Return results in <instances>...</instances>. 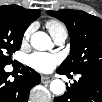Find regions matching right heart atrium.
I'll return each instance as SVG.
<instances>
[{"label":"right heart atrium","mask_w":102,"mask_h":102,"mask_svg":"<svg viewBox=\"0 0 102 102\" xmlns=\"http://www.w3.org/2000/svg\"><path fill=\"white\" fill-rule=\"evenodd\" d=\"M33 31V26H30L24 33V39L27 40Z\"/></svg>","instance_id":"obj_1"}]
</instances>
